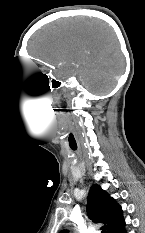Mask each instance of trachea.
<instances>
[{"instance_id":"3493384b","label":"trachea","mask_w":145,"mask_h":233,"mask_svg":"<svg viewBox=\"0 0 145 233\" xmlns=\"http://www.w3.org/2000/svg\"><path fill=\"white\" fill-rule=\"evenodd\" d=\"M101 233H105V231L104 230H102V232Z\"/></svg>"}]
</instances>
